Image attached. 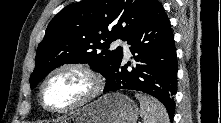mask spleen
Listing matches in <instances>:
<instances>
[{"instance_id":"spleen-1","label":"spleen","mask_w":221,"mask_h":123,"mask_svg":"<svg viewBox=\"0 0 221 123\" xmlns=\"http://www.w3.org/2000/svg\"><path fill=\"white\" fill-rule=\"evenodd\" d=\"M140 103V115L143 123H170L165 107L155 98L135 94Z\"/></svg>"}]
</instances>
